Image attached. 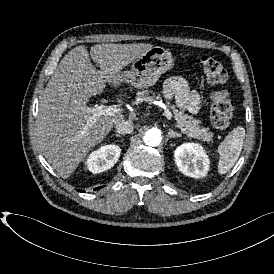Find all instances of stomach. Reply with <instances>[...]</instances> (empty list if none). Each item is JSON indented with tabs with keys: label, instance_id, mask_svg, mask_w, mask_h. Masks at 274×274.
Wrapping results in <instances>:
<instances>
[{
	"label": "stomach",
	"instance_id": "0dacf381",
	"mask_svg": "<svg viewBox=\"0 0 274 274\" xmlns=\"http://www.w3.org/2000/svg\"><path fill=\"white\" fill-rule=\"evenodd\" d=\"M170 51L160 46L152 47L144 55L137 58L129 71L121 73V82L144 89L153 86L159 77L173 66Z\"/></svg>",
	"mask_w": 274,
	"mask_h": 274
}]
</instances>
